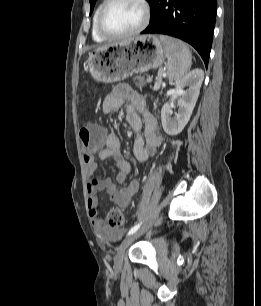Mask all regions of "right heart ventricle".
<instances>
[{
	"mask_svg": "<svg viewBox=\"0 0 261 306\" xmlns=\"http://www.w3.org/2000/svg\"><path fill=\"white\" fill-rule=\"evenodd\" d=\"M105 0H103L98 7L96 8L94 15H93V21H92V29H91V33H92V38L95 42H103L105 41L107 38L103 37L97 30V17L99 14L100 9L102 8V6L105 4Z\"/></svg>",
	"mask_w": 261,
	"mask_h": 306,
	"instance_id": "obj_1",
	"label": "right heart ventricle"
}]
</instances>
